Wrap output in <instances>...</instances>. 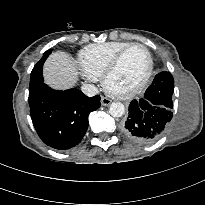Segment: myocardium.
Instances as JSON below:
<instances>
[{
    "label": "myocardium",
    "mask_w": 205,
    "mask_h": 205,
    "mask_svg": "<svg viewBox=\"0 0 205 205\" xmlns=\"http://www.w3.org/2000/svg\"><path fill=\"white\" fill-rule=\"evenodd\" d=\"M134 47H140V48L144 49V51L146 52V54L148 56L147 70H146L143 78L140 80V82L136 86H134L133 88L126 90V91H116L109 86V79L112 76V74L116 71V69L118 68L123 56L130 49H132ZM153 66H154L153 57H152L150 50L147 48V46H145L144 44H141V43H131L130 45H128L127 47L122 49L112 59V61L110 62V64L108 65V67L106 68V70L104 71V73L101 77L102 86H103L104 90L109 95H111L113 97L120 98V99H126V98L133 97V96L137 95L138 93H140L145 88L147 83L149 82L151 75H152V72H153Z\"/></svg>",
    "instance_id": "f54148a6"
}]
</instances>
